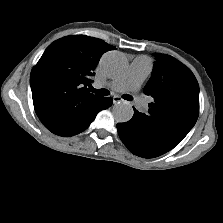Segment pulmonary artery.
<instances>
[{"label":"pulmonary artery","instance_id":"1","mask_svg":"<svg viewBox=\"0 0 223 223\" xmlns=\"http://www.w3.org/2000/svg\"><path fill=\"white\" fill-rule=\"evenodd\" d=\"M146 68V61L136 59L125 75L107 83V85L115 91H130L136 93L146 76ZM135 105L141 110L146 108L145 102L140 98H136Z\"/></svg>","mask_w":223,"mask_h":223}]
</instances>
